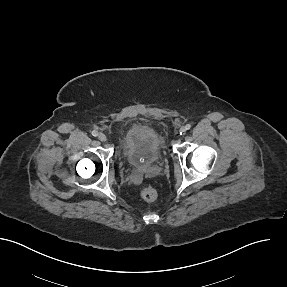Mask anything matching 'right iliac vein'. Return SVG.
<instances>
[{"label": "right iliac vein", "mask_w": 287, "mask_h": 287, "mask_svg": "<svg viewBox=\"0 0 287 287\" xmlns=\"http://www.w3.org/2000/svg\"><path fill=\"white\" fill-rule=\"evenodd\" d=\"M98 139H99L101 142H105V141L107 140V137H106L105 134L100 133V134L98 135Z\"/></svg>", "instance_id": "right-iliac-vein-1"}]
</instances>
